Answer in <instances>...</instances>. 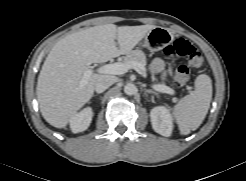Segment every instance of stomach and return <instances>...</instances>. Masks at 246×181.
<instances>
[{"mask_svg": "<svg viewBox=\"0 0 246 181\" xmlns=\"http://www.w3.org/2000/svg\"><path fill=\"white\" fill-rule=\"evenodd\" d=\"M172 41L173 34L167 28L155 27L145 36L142 46L151 51H157Z\"/></svg>", "mask_w": 246, "mask_h": 181, "instance_id": "obj_1", "label": "stomach"}]
</instances>
